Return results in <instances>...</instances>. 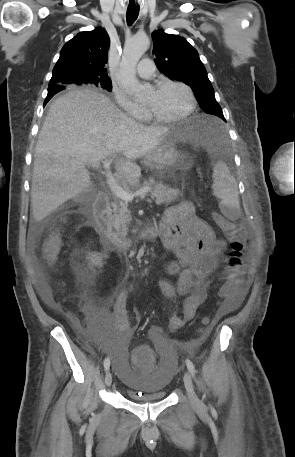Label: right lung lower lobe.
Returning a JSON list of instances; mask_svg holds the SVG:
<instances>
[{
    "label": "right lung lower lobe",
    "instance_id": "obj_1",
    "mask_svg": "<svg viewBox=\"0 0 295 457\" xmlns=\"http://www.w3.org/2000/svg\"><path fill=\"white\" fill-rule=\"evenodd\" d=\"M63 87L59 86H53V87H48V95L45 99L44 105L59 91L63 90Z\"/></svg>",
    "mask_w": 295,
    "mask_h": 457
}]
</instances>
